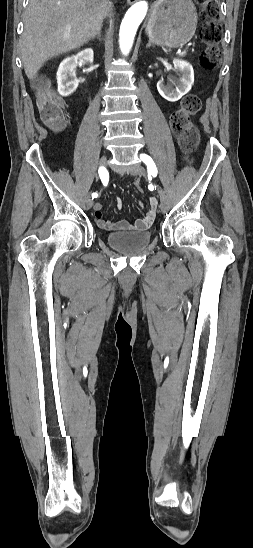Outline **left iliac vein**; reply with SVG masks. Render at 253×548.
Here are the masks:
<instances>
[{"instance_id": "1", "label": "left iliac vein", "mask_w": 253, "mask_h": 548, "mask_svg": "<svg viewBox=\"0 0 253 548\" xmlns=\"http://www.w3.org/2000/svg\"><path fill=\"white\" fill-rule=\"evenodd\" d=\"M133 173L136 174V175H139V176H144L145 175V169L141 165L138 164L135 167V169L133 170ZM157 192H158V195H159V198H160V209H161L162 212H165L166 209H167L166 194L160 186H157Z\"/></svg>"}]
</instances>
